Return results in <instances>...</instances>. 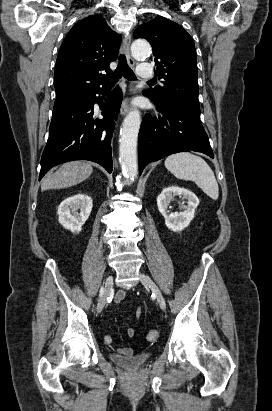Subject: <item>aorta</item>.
Listing matches in <instances>:
<instances>
[{"label":"aorta","mask_w":272,"mask_h":411,"mask_svg":"<svg viewBox=\"0 0 272 411\" xmlns=\"http://www.w3.org/2000/svg\"><path fill=\"white\" fill-rule=\"evenodd\" d=\"M131 52L135 58L140 59L149 56L151 48L148 42L135 40L131 45ZM140 124V112L133 110L124 119L120 131L119 160L124 176L131 180L138 174L137 139Z\"/></svg>","instance_id":"1"}]
</instances>
